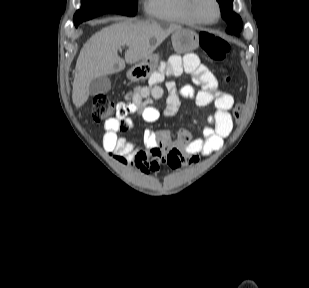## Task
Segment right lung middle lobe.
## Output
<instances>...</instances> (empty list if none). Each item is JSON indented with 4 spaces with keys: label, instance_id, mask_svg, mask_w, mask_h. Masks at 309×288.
I'll return each instance as SVG.
<instances>
[{
    "label": "right lung middle lobe",
    "instance_id": "right-lung-middle-lobe-1",
    "mask_svg": "<svg viewBox=\"0 0 309 288\" xmlns=\"http://www.w3.org/2000/svg\"><path fill=\"white\" fill-rule=\"evenodd\" d=\"M138 0H81L82 7L74 15L75 27L86 20L104 13H118L134 16L137 12Z\"/></svg>",
    "mask_w": 309,
    "mask_h": 288
}]
</instances>
